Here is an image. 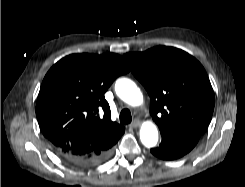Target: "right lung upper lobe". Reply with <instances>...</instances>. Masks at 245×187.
I'll use <instances>...</instances> for the list:
<instances>
[{
  "mask_svg": "<svg viewBox=\"0 0 245 187\" xmlns=\"http://www.w3.org/2000/svg\"><path fill=\"white\" fill-rule=\"evenodd\" d=\"M128 71L114 53L72 54L52 66L40 88L36 116L43 135L59 154L84 157L117 143L125 129L111 121L104 93Z\"/></svg>",
  "mask_w": 245,
  "mask_h": 187,
  "instance_id": "1",
  "label": "right lung upper lobe"
}]
</instances>
